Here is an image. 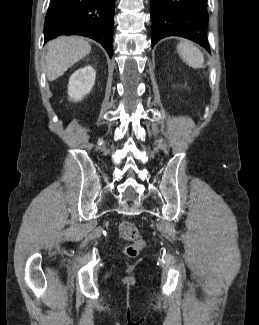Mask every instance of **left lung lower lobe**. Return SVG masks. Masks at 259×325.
Segmentation results:
<instances>
[{
  "label": "left lung lower lobe",
  "instance_id": "left-lung-lower-lobe-1",
  "mask_svg": "<svg viewBox=\"0 0 259 325\" xmlns=\"http://www.w3.org/2000/svg\"><path fill=\"white\" fill-rule=\"evenodd\" d=\"M152 47L162 38L180 36L210 52L207 0H151Z\"/></svg>",
  "mask_w": 259,
  "mask_h": 325
}]
</instances>
